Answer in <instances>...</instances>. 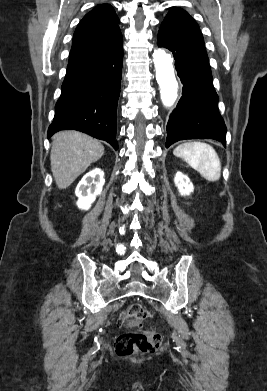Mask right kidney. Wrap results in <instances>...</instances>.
<instances>
[{
	"mask_svg": "<svg viewBox=\"0 0 267 391\" xmlns=\"http://www.w3.org/2000/svg\"><path fill=\"white\" fill-rule=\"evenodd\" d=\"M105 183L104 172L95 168L88 172L78 183L75 194L78 197L77 206L80 209L88 210L96 197L101 194Z\"/></svg>",
	"mask_w": 267,
	"mask_h": 391,
	"instance_id": "obj_1",
	"label": "right kidney"
}]
</instances>
